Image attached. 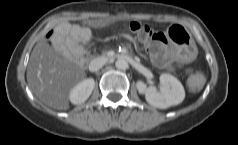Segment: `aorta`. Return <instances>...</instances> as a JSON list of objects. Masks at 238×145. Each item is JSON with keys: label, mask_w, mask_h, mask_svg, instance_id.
I'll return each instance as SVG.
<instances>
[{"label": "aorta", "mask_w": 238, "mask_h": 145, "mask_svg": "<svg viewBox=\"0 0 238 145\" xmlns=\"http://www.w3.org/2000/svg\"><path fill=\"white\" fill-rule=\"evenodd\" d=\"M115 66L119 70H125L128 67V63L125 59L119 58L118 60H116Z\"/></svg>", "instance_id": "762f6f07"}]
</instances>
